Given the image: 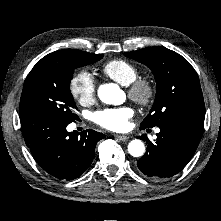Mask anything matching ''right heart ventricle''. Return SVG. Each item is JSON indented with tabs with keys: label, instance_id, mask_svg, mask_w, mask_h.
<instances>
[{
	"label": "right heart ventricle",
	"instance_id": "e07e8e85",
	"mask_svg": "<svg viewBox=\"0 0 221 221\" xmlns=\"http://www.w3.org/2000/svg\"><path fill=\"white\" fill-rule=\"evenodd\" d=\"M101 71L104 75L123 86H128L139 75L138 68L123 59H114L104 63L101 66Z\"/></svg>",
	"mask_w": 221,
	"mask_h": 221
}]
</instances>
